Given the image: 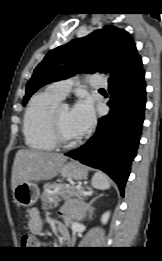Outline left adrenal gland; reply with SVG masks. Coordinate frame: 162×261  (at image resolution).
I'll list each match as a JSON object with an SVG mask.
<instances>
[{"label": "left adrenal gland", "instance_id": "left-adrenal-gland-1", "mask_svg": "<svg viewBox=\"0 0 162 261\" xmlns=\"http://www.w3.org/2000/svg\"><path fill=\"white\" fill-rule=\"evenodd\" d=\"M104 196V194H99L98 196H96L95 198H93L87 205V207L89 208V212L91 213L93 211V207L91 206L98 198ZM86 197V196H85Z\"/></svg>", "mask_w": 162, "mask_h": 261}]
</instances>
